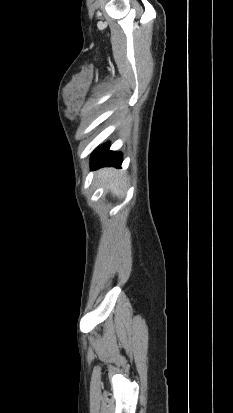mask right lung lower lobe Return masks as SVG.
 <instances>
[{"label": "right lung lower lobe", "mask_w": 233, "mask_h": 413, "mask_svg": "<svg viewBox=\"0 0 233 413\" xmlns=\"http://www.w3.org/2000/svg\"><path fill=\"white\" fill-rule=\"evenodd\" d=\"M121 163V153L109 151V145L105 144L93 153L91 160V168L97 169L102 166L119 167Z\"/></svg>", "instance_id": "98d812e1"}]
</instances>
